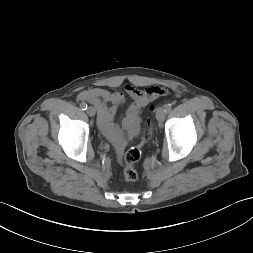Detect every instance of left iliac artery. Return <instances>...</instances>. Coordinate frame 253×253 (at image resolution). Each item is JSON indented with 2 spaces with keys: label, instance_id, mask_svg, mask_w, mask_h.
<instances>
[{
  "label": "left iliac artery",
  "instance_id": "1",
  "mask_svg": "<svg viewBox=\"0 0 253 253\" xmlns=\"http://www.w3.org/2000/svg\"><path fill=\"white\" fill-rule=\"evenodd\" d=\"M164 108L166 112H169L171 110V104H165Z\"/></svg>",
  "mask_w": 253,
  "mask_h": 253
}]
</instances>
